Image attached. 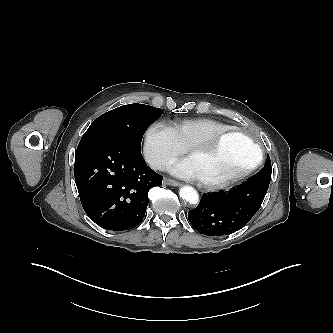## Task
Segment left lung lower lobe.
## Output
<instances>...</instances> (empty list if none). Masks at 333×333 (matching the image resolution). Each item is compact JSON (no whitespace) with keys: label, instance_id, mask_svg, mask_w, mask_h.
<instances>
[{"label":"left lung lower lobe","instance_id":"left-lung-lower-lobe-1","mask_svg":"<svg viewBox=\"0 0 333 333\" xmlns=\"http://www.w3.org/2000/svg\"><path fill=\"white\" fill-rule=\"evenodd\" d=\"M270 184L269 177L248 180L231 191L203 195L189 211L191 225L201 234L221 236L233 233L255 215Z\"/></svg>","mask_w":333,"mask_h":333}]
</instances>
